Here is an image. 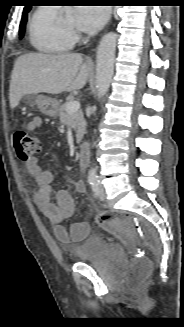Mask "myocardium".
I'll list each match as a JSON object with an SVG mask.
<instances>
[{
	"label": "myocardium",
	"mask_w": 184,
	"mask_h": 327,
	"mask_svg": "<svg viewBox=\"0 0 184 327\" xmlns=\"http://www.w3.org/2000/svg\"><path fill=\"white\" fill-rule=\"evenodd\" d=\"M62 29L65 30L68 33H71L72 35L75 33V29L74 28H67L63 25H61Z\"/></svg>",
	"instance_id": "obj_1"
}]
</instances>
